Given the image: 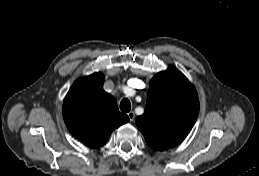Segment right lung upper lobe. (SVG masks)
<instances>
[{
  "label": "right lung upper lobe",
  "instance_id": "1",
  "mask_svg": "<svg viewBox=\"0 0 259 176\" xmlns=\"http://www.w3.org/2000/svg\"><path fill=\"white\" fill-rule=\"evenodd\" d=\"M104 75L94 73L76 80L63 103L68 130L86 146L104 145L111 132L129 121L119 112L115 99L103 90Z\"/></svg>",
  "mask_w": 259,
  "mask_h": 176
}]
</instances>
